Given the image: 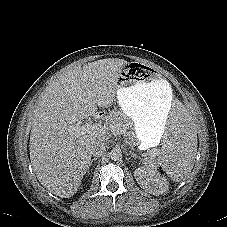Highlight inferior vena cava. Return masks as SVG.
Segmentation results:
<instances>
[{"label":"inferior vena cava","instance_id":"inferior-vena-cava-1","mask_svg":"<svg viewBox=\"0 0 227 227\" xmlns=\"http://www.w3.org/2000/svg\"><path fill=\"white\" fill-rule=\"evenodd\" d=\"M106 147L107 145L104 140H97L92 144L90 153L94 157H100L106 151Z\"/></svg>","mask_w":227,"mask_h":227}]
</instances>
